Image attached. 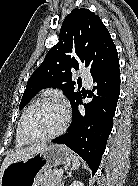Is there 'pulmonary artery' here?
<instances>
[{"mask_svg":"<svg viewBox=\"0 0 138 186\" xmlns=\"http://www.w3.org/2000/svg\"><path fill=\"white\" fill-rule=\"evenodd\" d=\"M79 75L82 79V81L85 83V85L90 86L92 83V78L90 73L87 70L81 69L79 71Z\"/></svg>","mask_w":138,"mask_h":186,"instance_id":"obj_1","label":"pulmonary artery"}]
</instances>
